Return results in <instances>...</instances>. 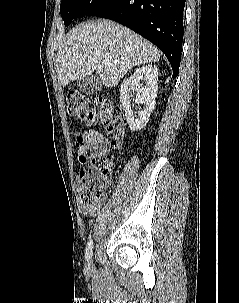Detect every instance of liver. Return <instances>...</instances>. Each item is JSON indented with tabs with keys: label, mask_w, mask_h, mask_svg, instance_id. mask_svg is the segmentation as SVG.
Returning a JSON list of instances; mask_svg holds the SVG:
<instances>
[{
	"label": "liver",
	"mask_w": 239,
	"mask_h": 303,
	"mask_svg": "<svg viewBox=\"0 0 239 303\" xmlns=\"http://www.w3.org/2000/svg\"><path fill=\"white\" fill-rule=\"evenodd\" d=\"M159 59L158 49L127 27L95 20L70 31L58 50L56 71L62 87L96 71L103 85L113 88L133 67Z\"/></svg>",
	"instance_id": "6515ba94"
}]
</instances>
